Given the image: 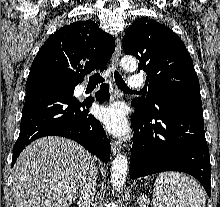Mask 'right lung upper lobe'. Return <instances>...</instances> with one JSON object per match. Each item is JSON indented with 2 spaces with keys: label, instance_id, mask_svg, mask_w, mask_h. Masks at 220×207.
Segmentation results:
<instances>
[{
  "label": "right lung upper lobe",
  "instance_id": "cb5924a9",
  "mask_svg": "<svg viewBox=\"0 0 220 207\" xmlns=\"http://www.w3.org/2000/svg\"><path fill=\"white\" fill-rule=\"evenodd\" d=\"M115 50L114 38L92 20L65 25L39 49L28 79L48 77L72 84L94 70L106 69Z\"/></svg>",
  "mask_w": 220,
  "mask_h": 207
}]
</instances>
